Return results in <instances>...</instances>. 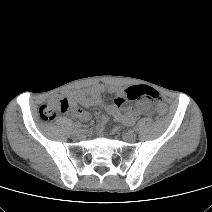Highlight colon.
Returning <instances> with one entry per match:
<instances>
[{"mask_svg": "<svg viewBox=\"0 0 212 212\" xmlns=\"http://www.w3.org/2000/svg\"><path fill=\"white\" fill-rule=\"evenodd\" d=\"M126 97L130 100L147 99L156 105L157 111L161 115H165L168 112L166 104L161 99L159 93L144 85L131 86L126 89ZM70 108V104L67 99L55 98L47 104L40 107L39 117L44 122L52 121L58 112H65Z\"/></svg>", "mask_w": 212, "mask_h": 212, "instance_id": "1", "label": "colon"}]
</instances>
